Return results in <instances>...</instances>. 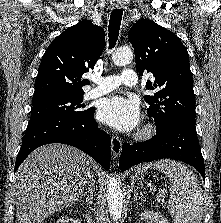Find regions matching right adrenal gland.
Masks as SVG:
<instances>
[{
    "mask_svg": "<svg viewBox=\"0 0 221 223\" xmlns=\"http://www.w3.org/2000/svg\"><path fill=\"white\" fill-rule=\"evenodd\" d=\"M89 185V188H88V191L86 192H83L81 194L82 197H85V204H90L92 202V200L94 199V196H95V184L94 182H90L88 183ZM83 206V204H82Z\"/></svg>",
    "mask_w": 221,
    "mask_h": 223,
    "instance_id": "2a0ac1e0",
    "label": "right adrenal gland"
}]
</instances>
